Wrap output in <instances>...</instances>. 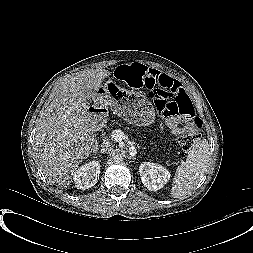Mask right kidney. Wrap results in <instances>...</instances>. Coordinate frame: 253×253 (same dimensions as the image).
Instances as JSON below:
<instances>
[{
    "label": "right kidney",
    "instance_id": "ca27d5eb",
    "mask_svg": "<svg viewBox=\"0 0 253 253\" xmlns=\"http://www.w3.org/2000/svg\"><path fill=\"white\" fill-rule=\"evenodd\" d=\"M100 163L98 161H91L79 167L73 173V180L78 189H88L93 187L99 178Z\"/></svg>",
    "mask_w": 253,
    "mask_h": 253
}]
</instances>
